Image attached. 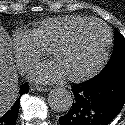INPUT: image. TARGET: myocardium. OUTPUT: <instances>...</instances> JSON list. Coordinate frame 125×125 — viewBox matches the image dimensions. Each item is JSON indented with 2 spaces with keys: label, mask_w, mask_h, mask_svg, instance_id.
Segmentation results:
<instances>
[{
  "label": "myocardium",
  "mask_w": 125,
  "mask_h": 125,
  "mask_svg": "<svg viewBox=\"0 0 125 125\" xmlns=\"http://www.w3.org/2000/svg\"><path fill=\"white\" fill-rule=\"evenodd\" d=\"M91 24H98L104 28L106 32L105 47L100 59L93 67H91L89 70L81 74L68 76V79L74 82L87 80L93 77L94 75H96L97 73H99L103 69V67L105 66V64L109 59L110 50L113 42V34H112L111 28L106 23H104L99 19L91 18L88 20H84L70 27L64 34H62L57 40H55V42L50 47V54L54 56L56 50L62 45H64L65 43H67L78 30H80L84 26L91 25Z\"/></svg>",
  "instance_id": "1"
}]
</instances>
